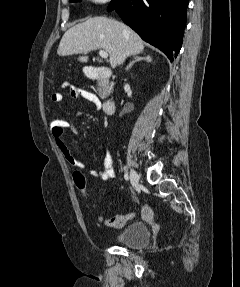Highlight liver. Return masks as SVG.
I'll return each mask as SVG.
<instances>
[{
    "label": "liver",
    "mask_w": 240,
    "mask_h": 287,
    "mask_svg": "<svg viewBox=\"0 0 240 287\" xmlns=\"http://www.w3.org/2000/svg\"><path fill=\"white\" fill-rule=\"evenodd\" d=\"M104 49L112 67L121 65L126 57L144 50L140 36L125 24L107 17H93L68 29L59 44V56L79 54L78 61L87 62V54Z\"/></svg>",
    "instance_id": "1"
}]
</instances>
